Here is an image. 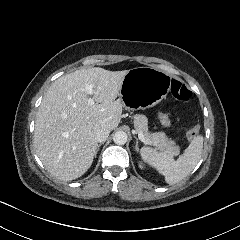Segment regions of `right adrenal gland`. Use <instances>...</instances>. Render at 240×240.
Returning a JSON list of instances; mask_svg holds the SVG:
<instances>
[{
    "instance_id": "obj_1",
    "label": "right adrenal gland",
    "mask_w": 240,
    "mask_h": 240,
    "mask_svg": "<svg viewBox=\"0 0 240 240\" xmlns=\"http://www.w3.org/2000/svg\"><path fill=\"white\" fill-rule=\"evenodd\" d=\"M102 144H103V143H100V144L97 145V147H96V151H95V155H94V156H96V154H97V152H98V150L100 149V146H101Z\"/></svg>"
}]
</instances>
